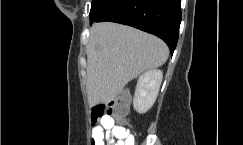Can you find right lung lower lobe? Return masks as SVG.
<instances>
[{
    "instance_id": "1",
    "label": "right lung lower lobe",
    "mask_w": 243,
    "mask_h": 145,
    "mask_svg": "<svg viewBox=\"0 0 243 145\" xmlns=\"http://www.w3.org/2000/svg\"><path fill=\"white\" fill-rule=\"evenodd\" d=\"M112 21L160 37L173 54L181 23V0H93L90 23Z\"/></svg>"
}]
</instances>
